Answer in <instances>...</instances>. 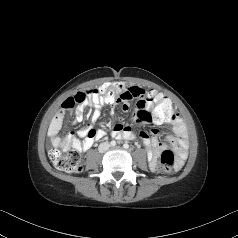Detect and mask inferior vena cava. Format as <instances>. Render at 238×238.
Segmentation results:
<instances>
[{
    "label": "inferior vena cava",
    "instance_id": "obj_1",
    "mask_svg": "<svg viewBox=\"0 0 238 238\" xmlns=\"http://www.w3.org/2000/svg\"><path fill=\"white\" fill-rule=\"evenodd\" d=\"M110 147L109 143L105 142L99 146V151L103 152L106 151Z\"/></svg>",
    "mask_w": 238,
    "mask_h": 238
}]
</instances>
